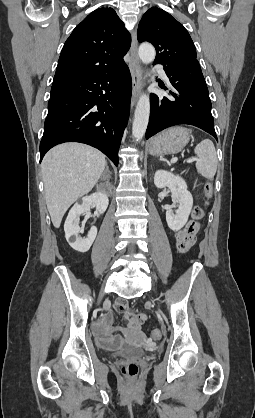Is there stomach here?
<instances>
[{
  "mask_svg": "<svg viewBox=\"0 0 255 418\" xmlns=\"http://www.w3.org/2000/svg\"><path fill=\"white\" fill-rule=\"evenodd\" d=\"M191 131L182 126L166 129L153 137L148 150L152 155H165L180 152L189 142Z\"/></svg>",
  "mask_w": 255,
  "mask_h": 418,
  "instance_id": "obj_1",
  "label": "stomach"
}]
</instances>
